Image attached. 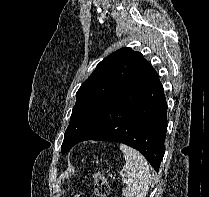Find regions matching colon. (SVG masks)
<instances>
[{
    "label": "colon",
    "mask_w": 209,
    "mask_h": 197,
    "mask_svg": "<svg viewBox=\"0 0 209 197\" xmlns=\"http://www.w3.org/2000/svg\"><path fill=\"white\" fill-rule=\"evenodd\" d=\"M94 191L98 197H107L110 191V186L107 178L101 174L93 176ZM81 197V196H75Z\"/></svg>",
    "instance_id": "obj_1"
}]
</instances>
